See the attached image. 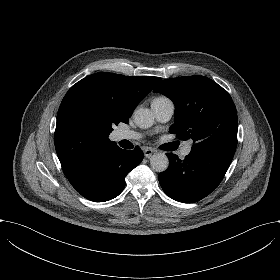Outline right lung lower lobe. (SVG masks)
<instances>
[{
	"label": "right lung lower lobe",
	"mask_w": 280,
	"mask_h": 280,
	"mask_svg": "<svg viewBox=\"0 0 280 280\" xmlns=\"http://www.w3.org/2000/svg\"><path fill=\"white\" fill-rule=\"evenodd\" d=\"M143 152L111 149L91 154L66 174L71 185L93 202H105L118 196L125 187L126 175L138 166Z\"/></svg>",
	"instance_id": "1"
}]
</instances>
